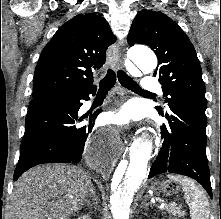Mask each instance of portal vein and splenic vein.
<instances>
[{
    "instance_id": "obj_1",
    "label": "portal vein and splenic vein",
    "mask_w": 221,
    "mask_h": 219,
    "mask_svg": "<svg viewBox=\"0 0 221 219\" xmlns=\"http://www.w3.org/2000/svg\"><path fill=\"white\" fill-rule=\"evenodd\" d=\"M164 206H165V204L162 203V204H161V207H164ZM170 206L175 207V206H177V203L173 202V203L170 204Z\"/></svg>"
}]
</instances>
